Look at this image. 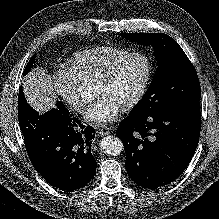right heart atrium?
<instances>
[{"label": "right heart atrium", "mask_w": 219, "mask_h": 219, "mask_svg": "<svg viewBox=\"0 0 219 219\" xmlns=\"http://www.w3.org/2000/svg\"><path fill=\"white\" fill-rule=\"evenodd\" d=\"M52 86L57 94L75 111H85L88 101L79 89V78L71 69H59L53 76Z\"/></svg>", "instance_id": "1"}]
</instances>
